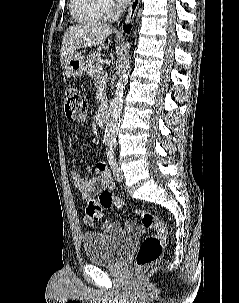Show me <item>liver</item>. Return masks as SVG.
<instances>
[{"label":"liver","mask_w":239,"mask_h":303,"mask_svg":"<svg viewBox=\"0 0 239 303\" xmlns=\"http://www.w3.org/2000/svg\"><path fill=\"white\" fill-rule=\"evenodd\" d=\"M112 34L107 24L88 22L69 27L64 33L60 51V61L63 65L67 56L77 49L95 47Z\"/></svg>","instance_id":"1"}]
</instances>
